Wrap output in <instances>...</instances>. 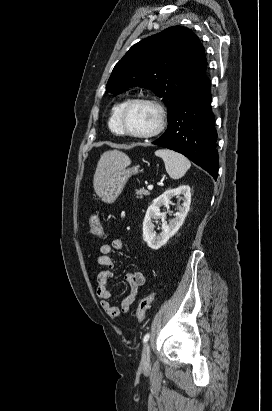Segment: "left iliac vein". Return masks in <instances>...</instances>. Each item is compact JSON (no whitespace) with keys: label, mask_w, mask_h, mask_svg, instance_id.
I'll list each match as a JSON object with an SVG mask.
<instances>
[{"label":"left iliac vein","mask_w":272,"mask_h":411,"mask_svg":"<svg viewBox=\"0 0 272 411\" xmlns=\"http://www.w3.org/2000/svg\"><path fill=\"white\" fill-rule=\"evenodd\" d=\"M150 362V346L146 343L142 350L141 366L146 367Z\"/></svg>","instance_id":"left-iliac-vein-1"}]
</instances>
